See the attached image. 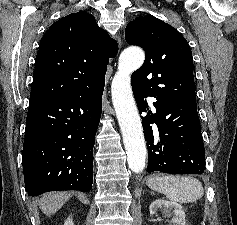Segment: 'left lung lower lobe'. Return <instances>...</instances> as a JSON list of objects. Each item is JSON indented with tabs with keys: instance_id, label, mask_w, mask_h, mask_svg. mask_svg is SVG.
<instances>
[{
	"instance_id": "obj_1",
	"label": "left lung lower lobe",
	"mask_w": 237,
	"mask_h": 225,
	"mask_svg": "<svg viewBox=\"0 0 237 225\" xmlns=\"http://www.w3.org/2000/svg\"><path fill=\"white\" fill-rule=\"evenodd\" d=\"M132 90L139 112H151L144 100L150 94L133 85ZM156 99V113L142 117L148 148L147 171L205 174V150L196 102ZM153 123L155 127L150 126Z\"/></svg>"
}]
</instances>
